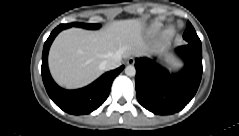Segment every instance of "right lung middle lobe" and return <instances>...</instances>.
<instances>
[{
  "mask_svg": "<svg viewBox=\"0 0 239 136\" xmlns=\"http://www.w3.org/2000/svg\"><path fill=\"white\" fill-rule=\"evenodd\" d=\"M64 26V28H69L72 26H76V27H82V28H86V29H98L100 28L99 24H85V23H69V24H62Z\"/></svg>",
  "mask_w": 239,
  "mask_h": 136,
  "instance_id": "dd1d6c3e",
  "label": "right lung middle lobe"
}]
</instances>
